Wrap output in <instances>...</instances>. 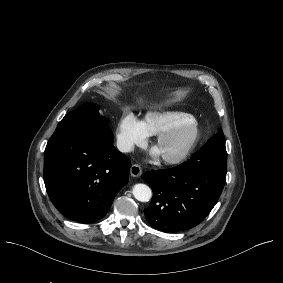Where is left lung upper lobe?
Listing matches in <instances>:
<instances>
[{
  "label": "left lung upper lobe",
  "mask_w": 283,
  "mask_h": 283,
  "mask_svg": "<svg viewBox=\"0 0 283 283\" xmlns=\"http://www.w3.org/2000/svg\"><path fill=\"white\" fill-rule=\"evenodd\" d=\"M210 140H217L219 142L225 143L224 134L222 131L218 132L216 136L212 137Z\"/></svg>",
  "instance_id": "obj_1"
}]
</instances>
